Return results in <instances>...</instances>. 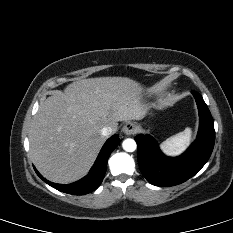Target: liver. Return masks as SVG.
<instances>
[{
    "label": "liver",
    "instance_id": "obj_1",
    "mask_svg": "<svg viewBox=\"0 0 233 233\" xmlns=\"http://www.w3.org/2000/svg\"><path fill=\"white\" fill-rule=\"evenodd\" d=\"M144 89L128 77H99L69 84L48 97L35 115L30 157L48 180L68 184L84 177L119 121L140 120L146 112Z\"/></svg>",
    "mask_w": 233,
    "mask_h": 233
}]
</instances>
